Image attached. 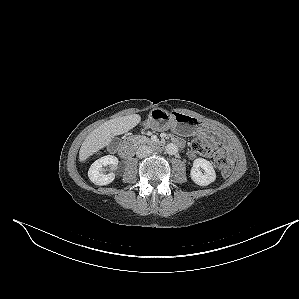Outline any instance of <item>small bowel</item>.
<instances>
[{
    "label": "small bowel",
    "mask_w": 299,
    "mask_h": 299,
    "mask_svg": "<svg viewBox=\"0 0 299 299\" xmlns=\"http://www.w3.org/2000/svg\"><path fill=\"white\" fill-rule=\"evenodd\" d=\"M173 140L175 141V143H177L178 145H180V146H182L183 144H184V141H183V139H181L180 137H173ZM195 153H196V151H192L191 153H190V156L191 157H193L194 155H195Z\"/></svg>",
    "instance_id": "obj_1"
}]
</instances>
